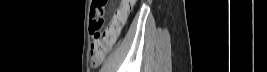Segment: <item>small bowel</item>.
<instances>
[{
  "label": "small bowel",
  "mask_w": 267,
  "mask_h": 72,
  "mask_svg": "<svg viewBox=\"0 0 267 72\" xmlns=\"http://www.w3.org/2000/svg\"><path fill=\"white\" fill-rule=\"evenodd\" d=\"M133 4H134V1L132 0H123L121 1L119 8L114 13L111 23L117 24L119 27V31L121 27L123 26V24L125 23L128 13L133 7Z\"/></svg>",
  "instance_id": "obj_1"
}]
</instances>
